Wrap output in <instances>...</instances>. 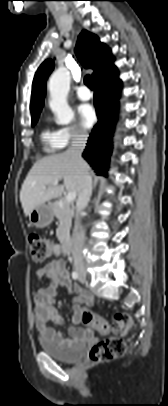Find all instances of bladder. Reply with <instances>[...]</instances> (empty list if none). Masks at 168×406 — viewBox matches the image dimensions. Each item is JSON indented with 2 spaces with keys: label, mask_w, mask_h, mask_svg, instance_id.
I'll use <instances>...</instances> for the list:
<instances>
[{
  "label": "bladder",
  "mask_w": 168,
  "mask_h": 406,
  "mask_svg": "<svg viewBox=\"0 0 168 406\" xmlns=\"http://www.w3.org/2000/svg\"><path fill=\"white\" fill-rule=\"evenodd\" d=\"M40 346L47 355L52 358L62 361V362H75L82 358L85 351V344L79 343L70 346L57 345L45 337L40 335L39 337Z\"/></svg>",
  "instance_id": "obj_1"
}]
</instances>
